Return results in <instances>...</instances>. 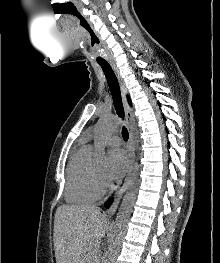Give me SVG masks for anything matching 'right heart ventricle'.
Listing matches in <instances>:
<instances>
[{
	"label": "right heart ventricle",
	"mask_w": 220,
	"mask_h": 263,
	"mask_svg": "<svg viewBox=\"0 0 220 263\" xmlns=\"http://www.w3.org/2000/svg\"><path fill=\"white\" fill-rule=\"evenodd\" d=\"M92 149L81 147L71 158L66 175L65 200L70 204H88L96 201L99 193L93 182Z\"/></svg>",
	"instance_id": "right-heart-ventricle-1"
}]
</instances>
